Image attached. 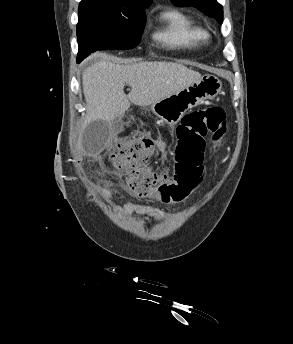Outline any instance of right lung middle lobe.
I'll return each mask as SVG.
<instances>
[{"mask_svg":"<svg viewBox=\"0 0 293 344\" xmlns=\"http://www.w3.org/2000/svg\"><path fill=\"white\" fill-rule=\"evenodd\" d=\"M78 18L77 63L97 50L136 47L146 22L145 13L140 10L96 1L81 2Z\"/></svg>","mask_w":293,"mask_h":344,"instance_id":"dd1d6c3e","label":"right lung middle lobe"}]
</instances>
